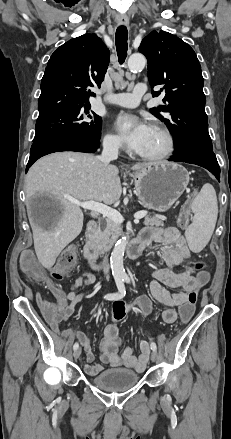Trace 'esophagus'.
<instances>
[{
    "label": "esophagus",
    "mask_w": 231,
    "mask_h": 439,
    "mask_svg": "<svg viewBox=\"0 0 231 439\" xmlns=\"http://www.w3.org/2000/svg\"><path fill=\"white\" fill-rule=\"evenodd\" d=\"M116 20L119 25L128 26L129 24V18L126 15H120Z\"/></svg>",
    "instance_id": "esophagus-1"
}]
</instances>
